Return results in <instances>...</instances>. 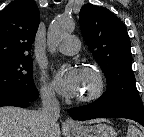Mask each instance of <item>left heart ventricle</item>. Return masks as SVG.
I'll use <instances>...</instances> for the list:
<instances>
[{"label": "left heart ventricle", "instance_id": "left-heart-ventricle-1", "mask_svg": "<svg viewBox=\"0 0 144 137\" xmlns=\"http://www.w3.org/2000/svg\"><path fill=\"white\" fill-rule=\"evenodd\" d=\"M94 86V80L89 74L81 72V89L79 96L89 93Z\"/></svg>", "mask_w": 144, "mask_h": 137}]
</instances>
